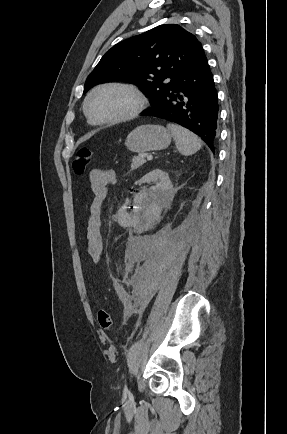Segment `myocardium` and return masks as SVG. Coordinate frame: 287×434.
<instances>
[{
	"mask_svg": "<svg viewBox=\"0 0 287 434\" xmlns=\"http://www.w3.org/2000/svg\"><path fill=\"white\" fill-rule=\"evenodd\" d=\"M109 87H116V88H121V89L126 90L127 92H129L133 96V98L135 100V104L128 113H126L120 117L110 118V119H96L91 115V113L89 111L90 100L95 93H97L98 91H100L102 89L109 88ZM146 103H147V101H146L145 95L137 86L130 84V83H127V82H122V81H107V82H103V83L96 85L95 87H93L89 91V93L87 94V96L85 98L83 109H84V113H85L87 119L92 124H95V125H113V124L127 122V121H130V120L136 118L145 109Z\"/></svg>",
	"mask_w": 287,
	"mask_h": 434,
	"instance_id": "myocardium-1",
	"label": "myocardium"
}]
</instances>
